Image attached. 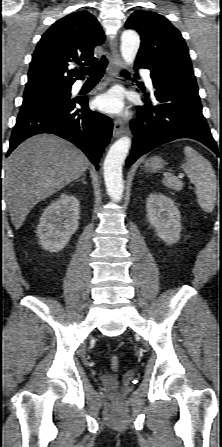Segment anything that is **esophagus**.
<instances>
[{
	"instance_id": "34e87169",
	"label": "esophagus",
	"mask_w": 222,
	"mask_h": 447,
	"mask_svg": "<svg viewBox=\"0 0 222 447\" xmlns=\"http://www.w3.org/2000/svg\"><path fill=\"white\" fill-rule=\"evenodd\" d=\"M110 48H111V54H112V64H111V74L113 76H116L117 72L120 68H123L124 63L122 60V57L118 50V41L115 38L110 39ZM126 131V126L123 123L121 119H115L114 120V126H113V136L119 137Z\"/></svg>"
}]
</instances>
